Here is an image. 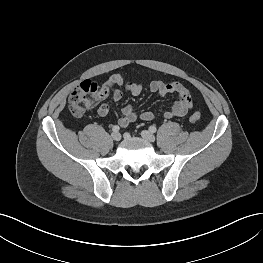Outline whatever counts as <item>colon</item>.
Here are the masks:
<instances>
[{"instance_id": "1", "label": "colon", "mask_w": 263, "mask_h": 263, "mask_svg": "<svg viewBox=\"0 0 263 263\" xmlns=\"http://www.w3.org/2000/svg\"><path fill=\"white\" fill-rule=\"evenodd\" d=\"M99 92L97 83L87 80L76 86L68 98V108L70 113L75 117H80L94 103ZM200 120L198 112L190 116V121L196 123Z\"/></svg>"}]
</instances>
